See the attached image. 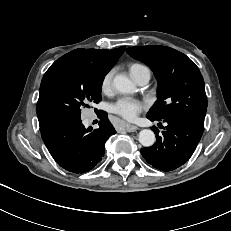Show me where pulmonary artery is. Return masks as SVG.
Instances as JSON below:
<instances>
[{"label": "pulmonary artery", "instance_id": "pulmonary-artery-1", "mask_svg": "<svg viewBox=\"0 0 231 231\" xmlns=\"http://www.w3.org/2000/svg\"><path fill=\"white\" fill-rule=\"evenodd\" d=\"M132 77L139 85H146L150 80V71L148 68H143L136 71Z\"/></svg>", "mask_w": 231, "mask_h": 231}]
</instances>
